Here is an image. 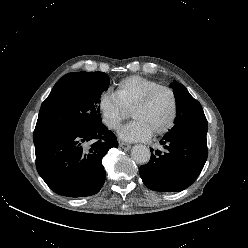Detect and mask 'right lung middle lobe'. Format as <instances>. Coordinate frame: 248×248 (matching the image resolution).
Masks as SVG:
<instances>
[{
  "label": "right lung middle lobe",
  "instance_id": "right-lung-middle-lobe-1",
  "mask_svg": "<svg viewBox=\"0 0 248 248\" xmlns=\"http://www.w3.org/2000/svg\"><path fill=\"white\" fill-rule=\"evenodd\" d=\"M109 84V77L103 72H78L60 79L42 103L36 125L101 127L100 95Z\"/></svg>",
  "mask_w": 248,
  "mask_h": 248
}]
</instances>
